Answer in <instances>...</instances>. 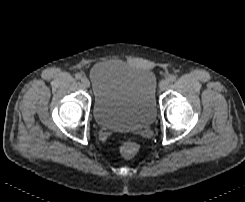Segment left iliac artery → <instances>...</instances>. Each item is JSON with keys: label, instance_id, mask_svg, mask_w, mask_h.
<instances>
[{"label": "left iliac artery", "instance_id": "1", "mask_svg": "<svg viewBox=\"0 0 245 202\" xmlns=\"http://www.w3.org/2000/svg\"><path fill=\"white\" fill-rule=\"evenodd\" d=\"M168 80H169L170 82H174V81L176 80V76H175V75H170V76L168 77Z\"/></svg>", "mask_w": 245, "mask_h": 202}]
</instances>
